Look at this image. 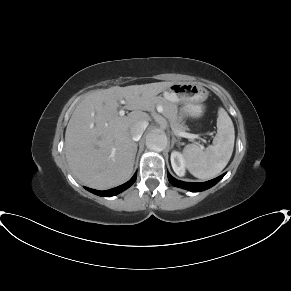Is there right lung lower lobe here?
Listing matches in <instances>:
<instances>
[{"label": "right lung lower lobe", "mask_w": 291, "mask_h": 291, "mask_svg": "<svg viewBox=\"0 0 291 291\" xmlns=\"http://www.w3.org/2000/svg\"><path fill=\"white\" fill-rule=\"evenodd\" d=\"M135 181H136V174L128 182H126L118 187H115L113 189H110V190L98 191V190L90 189L87 187H86V189L88 191L96 194V195H99V196L111 197V196L117 195L120 192L124 191L125 189L129 188Z\"/></svg>", "instance_id": "98d812e1"}]
</instances>
